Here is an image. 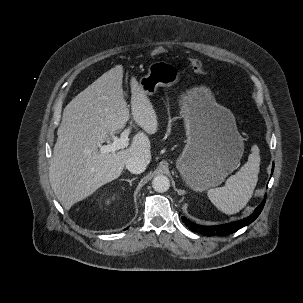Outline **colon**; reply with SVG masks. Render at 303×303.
<instances>
[{
	"label": "colon",
	"mask_w": 303,
	"mask_h": 303,
	"mask_svg": "<svg viewBox=\"0 0 303 303\" xmlns=\"http://www.w3.org/2000/svg\"><path fill=\"white\" fill-rule=\"evenodd\" d=\"M165 53H166V49L163 46L155 47L152 51L153 57H156V58L163 56ZM188 64L194 72L205 73V68L199 59L190 58L188 60Z\"/></svg>",
	"instance_id": "obj_1"
}]
</instances>
